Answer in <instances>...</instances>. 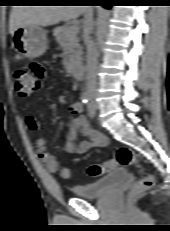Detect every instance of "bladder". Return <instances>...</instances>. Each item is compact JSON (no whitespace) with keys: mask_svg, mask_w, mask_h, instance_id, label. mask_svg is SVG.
Returning <instances> with one entry per match:
<instances>
[{"mask_svg":"<svg viewBox=\"0 0 170 231\" xmlns=\"http://www.w3.org/2000/svg\"><path fill=\"white\" fill-rule=\"evenodd\" d=\"M128 179V173L123 168L112 170L105 177L88 184L76 185L71 188L73 194L84 199L99 198L110 193L114 188Z\"/></svg>","mask_w":170,"mask_h":231,"instance_id":"bladder-1","label":"bladder"}]
</instances>
